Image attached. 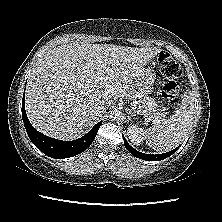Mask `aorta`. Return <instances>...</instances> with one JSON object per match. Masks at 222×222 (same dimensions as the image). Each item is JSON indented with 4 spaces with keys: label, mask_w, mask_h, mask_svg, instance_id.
<instances>
[{
    "label": "aorta",
    "mask_w": 222,
    "mask_h": 222,
    "mask_svg": "<svg viewBox=\"0 0 222 222\" xmlns=\"http://www.w3.org/2000/svg\"><path fill=\"white\" fill-rule=\"evenodd\" d=\"M110 119L112 121L119 122V121H121L123 119V114H122V112L120 110L115 109V110L111 111Z\"/></svg>",
    "instance_id": "1"
}]
</instances>
